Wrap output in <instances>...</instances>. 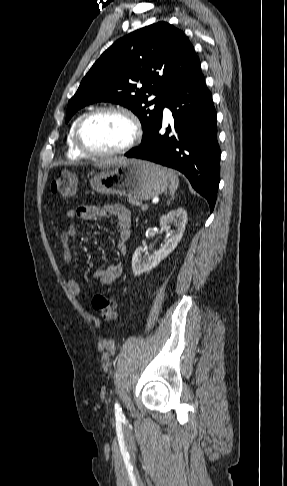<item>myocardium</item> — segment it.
I'll return each mask as SVG.
<instances>
[{
    "label": "myocardium",
    "instance_id": "1",
    "mask_svg": "<svg viewBox=\"0 0 287 486\" xmlns=\"http://www.w3.org/2000/svg\"><path fill=\"white\" fill-rule=\"evenodd\" d=\"M104 113H117L125 117L132 128V135L129 139V141L123 145L120 148H117L115 150L111 151H105V152H100V151H94L90 148H88L82 139V130L85 125V123L90 120L91 118L104 114ZM142 137V127L140 124V121L138 118L133 114L130 110L121 107V106H115V105H108V106H103L99 107L96 109H93L84 115H82L78 122L76 123L75 129H74V143L76 148L85 156L91 157V158H110L118 155H122L133 149L141 140Z\"/></svg>",
    "mask_w": 287,
    "mask_h": 486
}]
</instances>
